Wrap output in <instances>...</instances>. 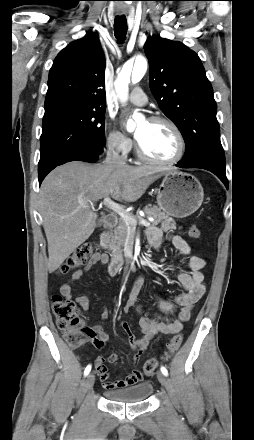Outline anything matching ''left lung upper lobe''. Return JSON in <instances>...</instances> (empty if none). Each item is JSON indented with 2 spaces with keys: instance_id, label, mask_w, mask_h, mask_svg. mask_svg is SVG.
Segmentation results:
<instances>
[{
  "instance_id": "5c2ea615",
  "label": "left lung upper lobe",
  "mask_w": 254,
  "mask_h": 440,
  "mask_svg": "<svg viewBox=\"0 0 254 440\" xmlns=\"http://www.w3.org/2000/svg\"><path fill=\"white\" fill-rule=\"evenodd\" d=\"M144 51L150 89L185 140L183 161L209 154L225 158L213 89L199 56L180 42L154 36L148 38Z\"/></svg>"
}]
</instances>
